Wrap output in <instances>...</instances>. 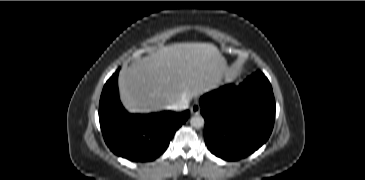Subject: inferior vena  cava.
<instances>
[{"mask_svg":"<svg viewBox=\"0 0 365 180\" xmlns=\"http://www.w3.org/2000/svg\"><path fill=\"white\" fill-rule=\"evenodd\" d=\"M188 107H189V101L185 98H182L180 101L168 106L167 109L181 111L187 109Z\"/></svg>","mask_w":365,"mask_h":180,"instance_id":"1","label":"inferior vena cava"}]
</instances>
